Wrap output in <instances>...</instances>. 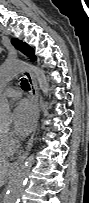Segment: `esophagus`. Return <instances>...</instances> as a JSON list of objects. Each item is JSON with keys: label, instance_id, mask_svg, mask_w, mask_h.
Instances as JSON below:
<instances>
[{"label": "esophagus", "instance_id": "1", "mask_svg": "<svg viewBox=\"0 0 89 203\" xmlns=\"http://www.w3.org/2000/svg\"><path fill=\"white\" fill-rule=\"evenodd\" d=\"M24 76L28 80V82L31 86V97H32V100H33V103L35 106V122H34V126H33V133H32V135L28 141L26 150L21 156L18 157V159L13 164L14 169H18L20 167V165L23 163V161L27 157V155H28V153L32 147L33 138H34V134H35L36 129H37V123H38L39 112H40L39 103H38V87H37V84L35 82V79H34L33 75L28 71L24 72Z\"/></svg>", "mask_w": 89, "mask_h": 203}]
</instances>
